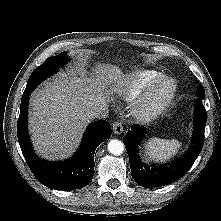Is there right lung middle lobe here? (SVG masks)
<instances>
[{"label":"right lung middle lobe","mask_w":221,"mask_h":221,"mask_svg":"<svg viewBox=\"0 0 221 221\" xmlns=\"http://www.w3.org/2000/svg\"><path fill=\"white\" fill-rule=\"evenodd\" d=\"M65 53L49 57L42 65L38 66L30 75L27 86L23 94L31 93L34 88L45 78L55 73L59 67L67 60Z\"/></svg>","instance_id":"right-lung-middle-lobe-1"}]
</instances>
